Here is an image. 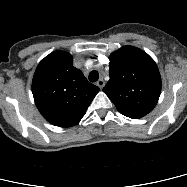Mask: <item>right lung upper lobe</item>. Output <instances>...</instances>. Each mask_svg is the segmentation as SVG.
Here are the masks:
<instances>
[{
	"instance_id": "obj_1",
	"label": "right lung upper lobe",
	"mask_w": 187,
	"mask_h": 187,
	"mask_svg": "<svg viewBox=\"0 0 187 187\" xmlns=\"http://www.w3.org/2000/svg\"><path fill=\"white\" fill-rule=\"evenodd\" d=\"M32 92L39 112L49 123L71 127L85 115L99 88L73 66L69 53L55 51L37 66Z\"/></svg>"
}]
</instances>
